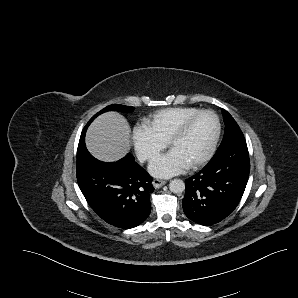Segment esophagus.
Here are the masks:
<instances>
[{
	"label": "esophagus",
	"instance_id": "esophagus-1",
	"mask_svg": "<svg viewBox=\"0 0 298 298\" xmlns=\"http://www.w3.org/2000/svg\"><path fill=\"white\" fill-rule=\"evenodd\" d=\"M166 184V181L160 179H154L152 185L154 188L159 189Z\"/></svg>",
	"mask_w": 298,
	"mask_h": 298
}]
</instances>
